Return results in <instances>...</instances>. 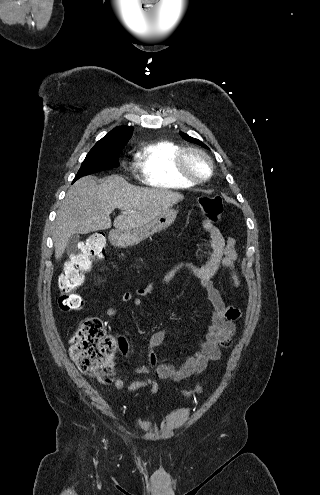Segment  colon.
Here are the masks:
<instances>
[{
	"mask_svg": "<svg viewBox=\"0 0 320 495\" xmlns=\"http://www.w3.org/2000/svg\"><path fill=\"white\" fill-rule=\"evenodd\" d=\"M198 205L211 222L217 221L224 210L223 201L219 196L200 197ZM105 244L106 237L103 233H93L83 241L80 251L66 262L59 278L62 293L58 304L61 310L68 312L82 308L83 300L75 290L83 284L85 273L92 264L105 257ZM118 348L126 351L125 340L117 341L106 331L100 318L88 316L82 320L71 339L69 350L72 360L81 372L93 375L102 384H109L115 377L114 357ZM203 390L204 386L198 385L184 394L190 397Z\"/></svg>",
	"mask_w": 320,
	"mask_h": 495,
	"instance_id": "1",
	"label": "colon"
}]
</instances>
